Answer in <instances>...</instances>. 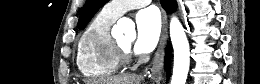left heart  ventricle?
I'll use <instances>...</instances> for the list:
<instances>
[{"instance_id":"left-heart-ventricle-1","label":"left heart ventricle","mask_w":260,"mask_h":84,"mask_svg":"<svg viewBox=\"0 0 260 84\" xmlns=\"http://www.w3.org/2000/svg\"><path fill=\"white\" fill-rule=\"evenodd\" d=\"M117 41L124 47H131L132 46V40L123 38V39H118Z\"/></svg>"}]
</instances>
